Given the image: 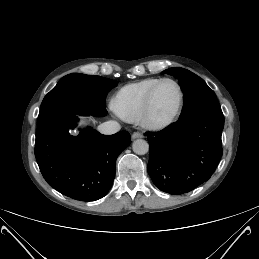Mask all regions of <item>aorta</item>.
Returning <instances> with one entry per match:
<instances>
[{
  "mask_svg": "<svg viewBox=\"0 0 259 259\" xmlns=\"http://www.w3.org/2000/svg\"><path fill=\"white\" fill-rule=\"evenodd\" d=\"M134 153L138 155H144L149 151V144L143 139H137L132 144Z\"/></svg>",
  "mask_w": 259,
  "mask_h": 259,
  "instance_id": "aorta-1",
  "label": "aorta"
}]
</instances>
